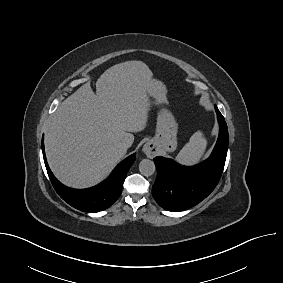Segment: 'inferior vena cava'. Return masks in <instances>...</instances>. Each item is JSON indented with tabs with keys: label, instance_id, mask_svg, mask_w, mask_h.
<instances>
[{
	"label": "inferior vena cava",
	"instance_id": "inferior-vena-cava-1",
	"mask_svg": "<svg viewBox=\"0 0 283 283\" xmlns=\"http://www.w3.org/2000/svg\"><path fill=\"white\" fill-rule=\"evenodd\" d=\"M130 142L128 140H123V142L121 143V146L124 148V149H128L129 146H130Z\"/></svg>",
	"mask_w": 283,
	"mask_h": 283
}]
</instances>
